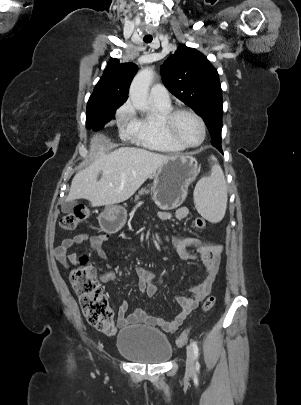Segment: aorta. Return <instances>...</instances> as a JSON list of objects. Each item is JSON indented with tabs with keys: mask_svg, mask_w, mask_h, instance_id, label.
<instances>
[{
	"mask_svg": "<svg viewBox=\"0 0 301 405\" xmlns=\"http://www.w3.org/2000/svg\"><path fill=\"white\" fill-rule=\"evenodd\" d=\"M153 77V69L147 67L138 72L131 83L129 97L133 106L140 111H147L149 109L148 92Z\"/></svg>",
	"mask_w": 301,
	"mask_h": 405,
	"instance_id": "aorta-1",
	"label": "aorta"
}]
</instances>
